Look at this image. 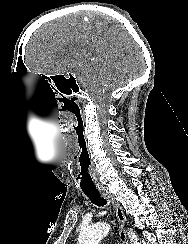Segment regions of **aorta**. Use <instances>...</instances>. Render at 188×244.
Listing matches in <instances>:
<instances>
[{
	"mask_svg": "<svg viewBox=\"0 0 188 244\" xmlns=\"http://www.w3.org/2000/svg\"><path fill=\"white\" fill-rule=\"evenodd\" d=\"M110 231V226L106 223H97L89 227L81 228L78 236V244H99L101 239ZM129 239L133 244H140L135 232H128Z\"/></svg>",
	"mask_w": 188,
	"mask_h": 244,
	"instance_id": "762f6f07",
	"label": "aorta"
}]
</instances>
